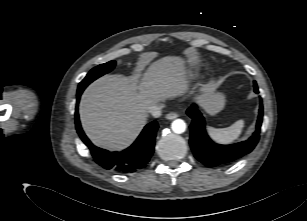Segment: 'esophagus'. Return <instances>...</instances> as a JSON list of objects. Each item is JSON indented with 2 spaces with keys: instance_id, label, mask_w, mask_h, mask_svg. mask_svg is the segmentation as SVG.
<instances>
[{
  "instance_id": "esophagus-1",
  "label": "esophagus",
  "mask_w": 307,
  "mask_h": 221,
  "mask_svg": "<svg viewBox=\"0 0 307 221\" xmlns=\"http://www.w3.org/2000/svg\"><path fill=\"white\" fill-rule=\"evenodd\" d=\"M178 117V114L176 112H170L166 115V119L168 120H174Z\"/></svg>"
}]
</instances>
